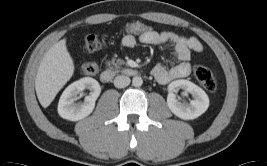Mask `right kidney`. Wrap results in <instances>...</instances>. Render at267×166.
<instances>
[{"mask_svg": "<svg viewBox=\"0 0 267 166\" xmlns=\"http://www.w3.org/2000/svg\"><path fill=\"white\" fill-rule=\"evenodd\" d=\"M84 89L91 91L82 103H76L78 94ZM101 92V87L95 79L84 77L70 84L62 93L58 103L59 115L70 121H78L87 117L95 107V101Z\"/></svg>", "mask_w": 267, "mask_h": 166, "instance_id": "obj_1", "label": "right kidney"}]
</instances>
